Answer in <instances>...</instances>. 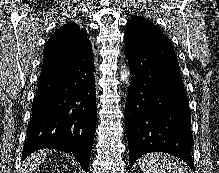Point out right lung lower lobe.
I'll use <instances>...</instances> for the list:
<instances>
[{"mask_svg": "<svg viewBox=\"0 0 219 173\" xmlns=\"http://www.w3.org/2000/svg\"><path fill=\"white\" fill-rule=\"evenodd\" d=\"M94 73L92 56H75L60 66L43 62L23 158L52 148L72 153L88 171L97 121Z\"/></svg>", "mask_w": 219, "mask_h": 173, "instance_id": "98d812e1", "label": "right lung lower lobe"}]
</instances>
